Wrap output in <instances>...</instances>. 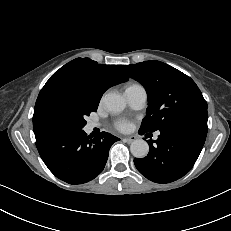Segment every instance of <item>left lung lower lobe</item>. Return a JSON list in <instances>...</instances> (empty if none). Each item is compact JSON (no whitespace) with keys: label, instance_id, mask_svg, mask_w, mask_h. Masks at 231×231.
<instances>
[{"label":"left lung lower lobe","instance_id":"1","mask_svg":"<svg viewBox=\"0 0 231 231\" xmlns=\"http://www.w3.org/2000/svg\"><path fill=\"white\" fill-rule=\"evenodd\" d=\"M207 123L187 121L160 130L158 139L148 140L150 152L134 159L138 171L156 183H169L187 174L195 164L207 135ZM145 131L140 128L139 133Z\"/></svg>","mask_w":231,"mask_h":231}]
</instances>
